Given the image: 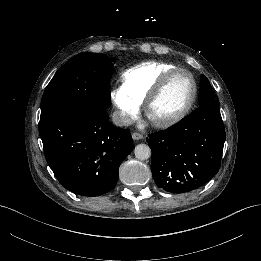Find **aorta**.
Instances as JSON below:
<instances>
[{"mask_svg":"<svg viewBox=\"0 0 261 261\" xmlns=\"http://www.w3.org/2000/svg\"><path fill=\"white\" fill-rule=\"evenodd\" d=\"M134 153H135V157L138 159V160H147L150 158L151 156V149L148 145L146 144H139L135 147V150H134Z\"/></svg>","mask_w":261,"mask_h":261,"instance_id":"aorta-1","label":"aorta"}]
</instances>
